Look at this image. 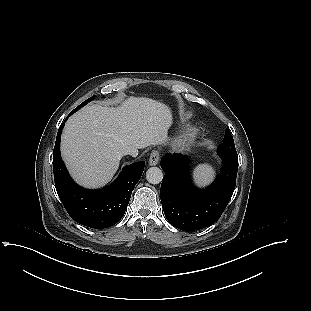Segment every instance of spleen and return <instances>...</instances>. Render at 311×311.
<instances>
[{
	"label": "spleen",
	"mask_w": 311,
	"mask_h": 311,
	"mask_svg": "<svg viewBox=\"0 0 311 311\" xmlns=\"http://www.w3.org/2000/svg\"><path fill=\"white\" fill-rule=\"evenodd\" d=\"M214 177V169L209 164H199L193 172V178L198 186L209 184Z\"/></svg>",
	"instance_id": "obj_1"
}]
</instances>
